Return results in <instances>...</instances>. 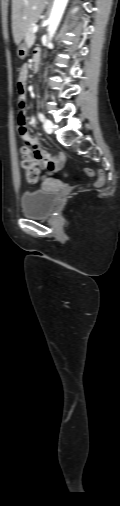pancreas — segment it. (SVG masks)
<instances>
[{"mask_svg":"<svg viewBox=\"0 0 120 506\" xmlns=\"http://www.w3.org/2000/svg\"><path fill=\"white\" fill-rule=\"evenodd\" d=\"M33 24L31 23L25 33V42L28 47H31L35 41V34L32 32Z\"/></svg>","mask_w":120,"mask_h":506,"instance_id":"1","label":"pancreas"}]
</instances>
